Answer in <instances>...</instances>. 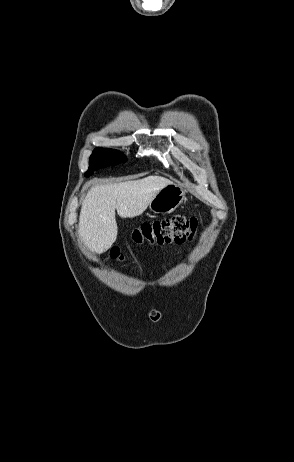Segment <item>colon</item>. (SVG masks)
Returning <instances> with one entry per match:
<instances>
[{
    "label": "colon",
    "instance_id": "5ec220e1",
    "mask_svg": "<svg viewBox=\"0 0 294 462\" xmlns=\"http://www.w3.org/2000/svg\"><path fill=\"white\" fill-rule=\"evenodd\" d=\"M198 227L199 222L196 218L175 215L171 218L142 224L134 230L132 238L136 244H183L193 240ZM111 256L122 258L118 248L112 249Z\"/></svg>",
    "mask_w": 294,
    "mask_h": 462
}]
</instances>
